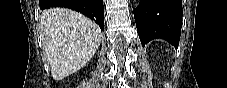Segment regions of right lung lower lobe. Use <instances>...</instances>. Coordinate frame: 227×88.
I'll return each mask as SVG.
<instances>
[{
    "mask_svg": "<svg viewBox=\"0 0 227 88\" xmlns=\"http://www.w3.org/2000/svg\"><path fill=\"white\" fill-rule=\"evenodd\" d=\"M41 10L51 7H66L80 12L95 21L104 30L103 0H39Z\"/></svg>",
    "mask_w": 227,
    "mask_h": 88,
    "instance_id": "1",
    "label": "right lung lower lobe"
}]
</instances>
